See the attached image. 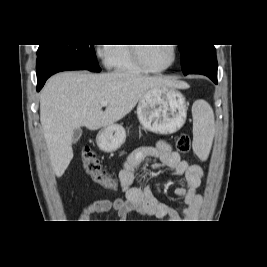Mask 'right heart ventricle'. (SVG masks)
Returning <instances> with one entry per match:
<instances>
[{"instance_id":"1","label":"right heart ventricle","mask_w":267,"mask_h":267,"mask_svg":"<svg viewBox=\"0 0 267 267\" xmlns=\"http://www.w3.org/2000/svg\"><path fill=\"white\" fill-rule=\"evenodd\" d=\"M110 47L109 65L116 72L142 73L145 70L134 60L131 47L124 44H113Z\"/></svg>"}]
</instances>
